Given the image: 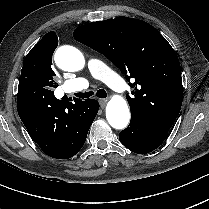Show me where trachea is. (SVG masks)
Here are the masks:
<instances>
[{
	"instance_id": "3493384b",
	"label": "trachea",
	"mask_w": 209,
	"mask_h": 209,
	"mask_svg": "<svg viewBox=\"0 0 209 209\" xmlns=\"http://www.w3.org/2000/svg\"><path fill=\"white\" fill-rule=\"evenodd\" d=\"M92 95H94L93 91L77 93V97H79V98H88V97H90ZM96 96L99 97V98H106L107 93H106V91L104 89H99L96 92Z\"/></svg>"
}]
</instances>
